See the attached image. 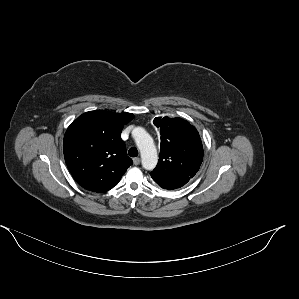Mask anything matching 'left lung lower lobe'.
<instances>
[{
    "label": "left lung lower lobe",
    "mask_w": 299,
    "mask_h": 299,
    "mask_svg": "<svg viewBox=\"0 0 299 299\" xmlns=\"http://www.w3.org/2000/svg\"><path fill=\"white\" fill-rule=\"evenodd\" d=\"M192 177L175 176V177H157L152 176V179L162 188L173 190L184 186Z\"/></svg>",
    "instance_id": "0a47b994"
}]
</instances>
